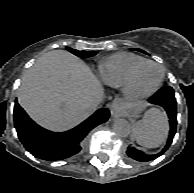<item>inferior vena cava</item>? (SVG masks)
I'll use <instances>...</instances> for the list:
<instances>
[{
  "instance_id": "inferior-vena-cava-1",
  "label": "inferior vena cava",
  "mask_w": 194,
  "mask_h": 193,
  "mask_svg": "<svg viewBox=\"0 0 194 193\" xmlns=\"http://www.w3.org/2000/svg\"><path fill=\"white\" fill-rule=\"evenodd\" d=\"M103 100H104V96H100L99 98L90 101L89 104H88V107H89L91 110L94 111V110H96V109L99 107L100 103H101Z\"/></svg>"
}]
</instances>
